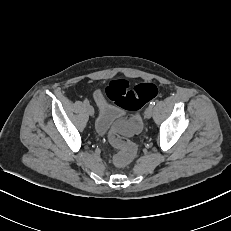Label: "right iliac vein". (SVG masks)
<instances>
[{
    "label": "right iliac vein",
    "instance_id": "obj_1",
    "mask_svg": "<svg viewBox=\"0 0 231 231\" xmlns=\"http://www.w3.org/2000/svg\"><path fill=\"white\" fill-rule=\"evenodd\" d=\"M87 111L89 115L94 116V108L91 105H87Z\"/></svg>",
    "mask_w": 231,
    "mask_h": 231
}]
</instances>
